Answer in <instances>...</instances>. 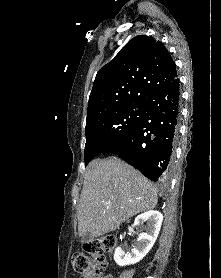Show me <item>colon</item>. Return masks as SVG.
Listing matches in <instances>:
<instances>
[{
    "instance_id": "obj_1",
    "label": "colon",
    "mask_w": 221,
    "mask_h": 278,
    "mask_svg": "<svg viewBox=\"0 0 221 278\" xmlns=\"http://www.w3.org/2000/svg\"><path fill=\"white\" fill-rule=\"evenodd\" d=\"M116 240L113 236H106L85 246L84 253H76L72 256L75 271L82 278H101L106 267L105 254L115 246Z\"/></svg>"
}]
</instances>
